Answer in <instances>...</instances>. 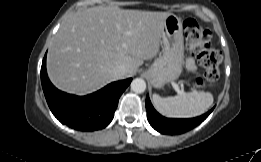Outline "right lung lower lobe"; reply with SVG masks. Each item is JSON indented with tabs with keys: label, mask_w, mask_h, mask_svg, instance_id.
I'll use <instances>...</instances> for the list:
<instances>
[{
	"label": "right lung lower lobe",
	"mask_w": 261,
	"mask_h": 162,
	"mask_svg": "<svg viewBox=\"0 0 261 162\" xmlns=\"http://www.w3.org/2000/svg\"><path fill=\"white\" fill-rule=\"evenodd\" d=\"M132 79L113 82L87 96L67 94L55 88L46 72V55L41 67V83L48 106L63 124L79 131L105 128L113 119L119 98Z\"/></svg>",
	"instance_id": "right-lung-lower-lobe-1"
}]
</instances>
